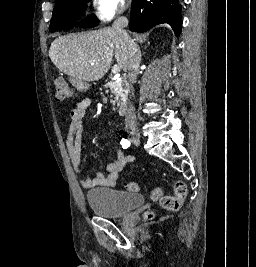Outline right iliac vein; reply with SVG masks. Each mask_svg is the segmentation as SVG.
Instances as JSON below:
<instances>
[{"mask_svg":"<svg viewBox=\"0 0 256 267\" xmlns=\"http://www.w3.org/2000/svg\"><path fill=\"white\" fill-rule=\"evenodd\" d=\"M131 140L135 144H139L140 143V136H139V134L136 131H132Z\"/></svg>","mask_w":256,"mask_h":267,"instance_id":"right-iliac-vein-1","label":"right iliac vein"}]
</instances>
